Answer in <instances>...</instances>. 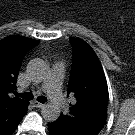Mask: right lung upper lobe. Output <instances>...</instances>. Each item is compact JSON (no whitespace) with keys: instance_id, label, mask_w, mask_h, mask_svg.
Returning <instances> with one entry per match:
<instances>
[{"instance_id":"cb5924a9","label":"right lung upper lobe","mask_w":135,"mask_h":135,"mask_svg":"<svg viewBox=\"0 0 135 135\" xmlns=\"http://www.w3.org/2000/svg\"><path fill=\"white\" fill-rule=\"evenodd\" d=\"M39 43V40L20 36H8L0 41V134L16 127L27 112L28 101L12 98L10 93L17 89L25 54Z\"/></svg>"}]
</instances>
